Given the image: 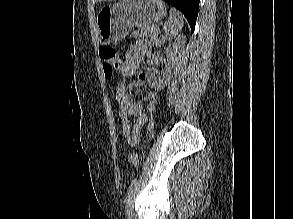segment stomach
Segmentation results:
<instances>
[{
  "label": "stomach",
  "mask_w": 293,
  "mask_h": 219,
  "mask_svg": "<svg viewBox=\"0 0 293 219\" xmlns=\"http://www.w3.org/2000/svg\"><path fill=\"white\" fill-rule=\"evenodd\" d=\"M166 16L162 0H122L100 9L97 32L101 44L121 41L134 26L143 27Z\"/></svg>",
  "instance_id": "obj_1"
}]
</instances>
